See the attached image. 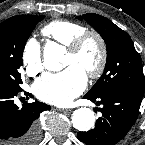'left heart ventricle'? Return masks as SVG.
Instances as JSON below:
<instances>
[{"instance_id":"left-heart-ventricle-1","label":"left heart ventricle","mask_w":145,"mask_h":145,"mask_svg":"<svg viewBox=\"0 0 145 145\" xmlns=\"http://www.w3.org/2000/svg\"><path fill=\"white\" fill-rule=\"evenodd\" d=\"M99 62V46L94 39H89L83 45L82 49L77 54L67 52L63 67L76 65L81 68L85 74L96 68Z\"/></svg>"}]
</instances>
